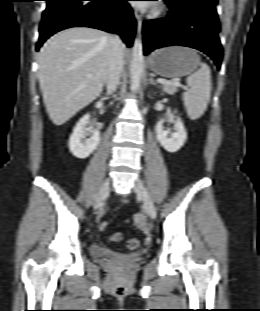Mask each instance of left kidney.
Here are the masks:
<instances>
[{
  "mask_svg": "<svg viewBox=\"0 0 260 311\" xmlns=\"http://www.w3.org/2000/svg\"><path fill=\"white\" fill-rule=\"evenodd\" d=\"M164 120H160L155 129L157 140L163 146V148L170 152H177L185 143L187 139V133L184 125L179 117L175 120V132L169 136V131L163 128Z\"/></svg>",
  "mask_w": 260,
  "mask_h": 311,
  "instance_id": "obj_1",
  "label": "left kidney"
}]
</instances>
